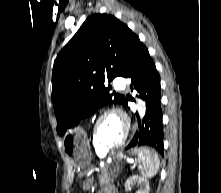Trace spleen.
<instances>
[{
	"label": "spleen",
	"mask_w": 221,
	"mask_h": 193,
	"mask_svg": "<svg viewBox=\"0 0 221 193\" xmlns=\"http://www.w3.org/2000/svg\"><path fill=\"white\" fill-rule=\"evenodd\" d=\"M138 161L142 168V175L147 178L155 176L159 170V157L150 146H135Z\"/></svg>",
	"instance_id": "spleen-1"
}]
</instances>
